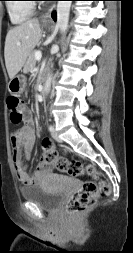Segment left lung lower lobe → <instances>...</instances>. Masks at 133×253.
<instances>
[{"label":"left lung lower lobe","instance_id":"obj_1","mask_svg":"<svg viewBox=\"0 0 133 253\" xmlns=\"http://www.w3.org/2000/svg\"><path fill=\"white\" fill-rule=\"evenodd\" d=\"M52 18L55 20L56 18H55V13H52Z\"/></svg>","mask_w":133,"mask_h":253}]
</instances>
